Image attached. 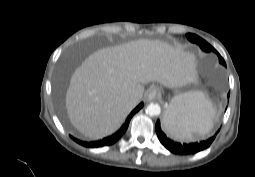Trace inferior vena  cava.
<instances>
[{"mask_svg": "<svg viewBox=\"0 0 255 177\" xmlns=\"http://www.w3.org/2000/svg\"><path fill=\"white\" fill-rule=\"evenodd\" d=\"M129 103L132 104V105H136L137 99H136L135 97H131V98L129 99Z\"/></svg>", "mask_w": 255, "mask_h": 177, "instance_id": "obj_1", "label": "inferior vena cava"}]
</instances>
